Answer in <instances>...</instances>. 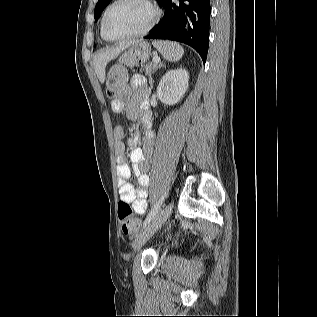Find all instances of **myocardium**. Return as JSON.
<instances>
[{
  "label": "myocardium",
  "instance_id": "1",
  "mask_svg": "<svg viewBox=\"0 0 317 317\" xmlns=\"http://www.w3.org/2000/svg\"><path fill=\"white\" fill-rule=\"evenodd\" d=\"M123 0H114L109 7L105 10L103 17H102V22H101V35L102 37L110 42H119V41H124V40H129L132 38H137L140 36H143L145 34H147L156 24V22L158 21L159 18V9L156 6V4L152 1V0H140L141 2H143L150 10V19L148 21V23L146 24V26L134 33L122 36V37H116V38H112L109 37L107 32H106V20L107 17L109 15V13L111 12V10L120 2H122Z\"/></svg>",
  "mask_w": 317,
  "mask_h": 317
}]
</instances>
